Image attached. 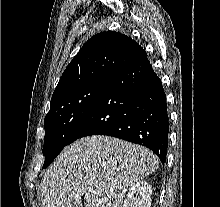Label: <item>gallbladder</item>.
I'll use <instances>...</instances> for the list:
<instances>
[{
  "mask_svg": "<svg viewBox=\"0 0 220 207\" xmlns=\"http://www.w3.org/2000/svg\"><path fill=\"white\" fill-rule=\"evenodd\" d=\"M82 207H89V205H87L86 203H84Z\"/></svg>",
  "mask_w": 220,
  "mask_h": 207,
  "instance_id": "gallbladder-1",
  "label": "gallbladder"
}]
</instances>
